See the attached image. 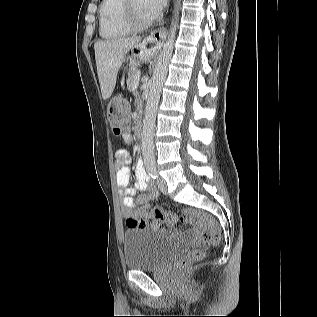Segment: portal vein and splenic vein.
I'll use <instances>...</instances> for the list:
<instances>
[{
    "label": "portal vein and splenic vein",
    "mask_w": 317,
    "mask_h": 317,
    "mask_svg": "<svg viewBox=\"0 0 317 317\" xmlns=\"http://www.w3.org/2000/svg\"><path fill=\"white\" fill-rule=\"evenodd\" d=\"M140 74H141L140 71H137V74H136V77H135V80H134L133 90H136L138 85H139Z\"/></svg>",
    "instance_id": "18ae733b"
}]
</instances>
